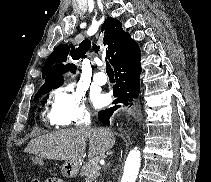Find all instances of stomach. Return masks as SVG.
I'll return each instance as SVG.
<instances>
[{
  "instance_id": "obj_1",
  "label": "stomach",
  "mask_w": 211,
  "mask_h": 182,
  "mask_svg": "<svg viewBox=\"0 0 211 182\" xmlns=\"http://www.w3.org/2000/svg\"><path fill=\"white\" fill-rule=\"evenodd\" d=\"M80 169V164L78 161H66L62 167V176L65 178H74L78 174Z\"/></svg>"
}]
</instances>
